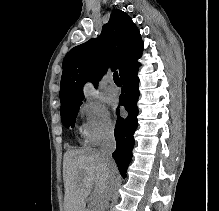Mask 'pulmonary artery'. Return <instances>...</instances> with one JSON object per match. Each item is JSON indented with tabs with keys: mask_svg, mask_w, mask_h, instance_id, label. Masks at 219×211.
<instances>
[{
	"mask_svg": "<svg viewBox=\"0 0 219 211\" xmlns=\"http://www.w3.org/2000/svg\"><path fill=\"white\" fill-rule=\"evenodd\" d=\"M107 91L112 96H117L120 94L119 87L113 82L112 79H109V86L107 88Z\"/></svg>",
	"mask_w": 219,
	"mask_h": 211,
	"instance_id": "1",
	"label": "pulmonary artery"
}]
</instances>
